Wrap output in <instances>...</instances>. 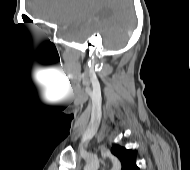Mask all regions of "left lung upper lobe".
<instances>
[{
	"label": "left lung upper lobe",
	"mask_w": 190,
	"mask_h": 170,
	"mask_svg": "<svg viewBox=\"0 0 190 170\" xmlns=\"http://www.w3.org/2000/svg\"><path fill=\"white\" fill-rule=\"evenodd\" d=\"M111 153L120 160L122 166L121 170H139L136 165V155L134 151L117 145L112 147Z\"/></svg>",
	"instance_id": "1"
}]
</instances>
